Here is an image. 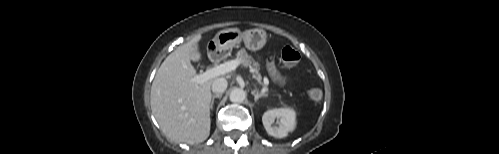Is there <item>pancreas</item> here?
Returning <instances> with one entry per match:
<instances>
[{
  "instance_id": "cf45deb5",
  "label": "pancreas",
  "mask_w": 499,
  "mask_h": 154,
  "mask_svg": "<svg viewBox=\"0 0 499 154\" xmlns=\"http://www.w3.org/2000/svg\"><path fill=\"white\" fill-rule=\"evenodd\" d=\"M240 63H242L245 66H249L253 70V76L254 78L261 83L262 76L259 73V65L254 61V59L248 55L247 51L245 49H241L237 53V58Z\"/></svg>"
}]
</instances>
